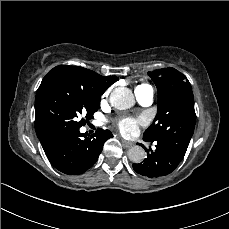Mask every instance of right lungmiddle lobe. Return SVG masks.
I'll use <instances>...</instances> for the list:
<instances>
[{"instance_id": "obj_1", "label": "right lung middle lobe", "mask_w": 229, "mask_h": 229, "mask_svg": "<svg viewBox=\"0 0 229 229\" xmlns=\"http://www.w3.org/2000/svg\"><path fill=\"white\" fill-rule=\"evenodd\" d=\"M100 107V97L89 93L75 78L47 74L36 93L35 130L43 147L60 135L85 125Z\"/></svg>"}]
</instances>
